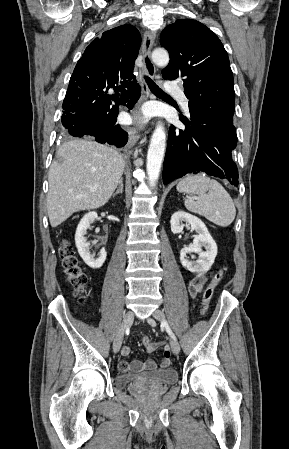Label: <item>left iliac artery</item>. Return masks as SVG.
<instances>
[{
	"label": "left iliac artery",
	"mask_w": 289,
	"mask_h": 449,
	"mask_svg": "<svg viewBox=\"0 0 289 449\" xmlns=\"http://www.w3.org/2000/svg\"><path fill=\"white\" fill-rule=\"evenodd\" d=\"M162 326L166 328V331L169 333L171 337L175 338V335L172 333L170 327L168 326V323L165 320L162 321Z\"/></svg>",
	"instance_id": "1"
}]
</instances>
